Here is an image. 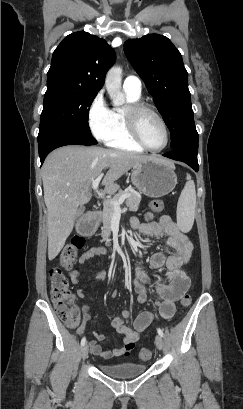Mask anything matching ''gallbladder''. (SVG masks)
I'll return each instance as SVG.
<instances>
[{"label":"gallbladder","instance_id":"1","mask_svg":"<svg viewBox=\"0 0 243 409\" xmlns=\"http://www.w3.org/2000/svg\"><path fill=\"white\" fill-rule=\"evenodd\" d=\"M83 211H84V207L81 206V207H80V214H79V215H81V214L83 213Z\"/></svg>","mask_w":243,"mask_h":409}]
</instances>
